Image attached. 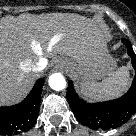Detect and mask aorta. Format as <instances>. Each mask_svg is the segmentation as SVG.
<instances>
[{
  "instance_id": "1",
  "label": "aorta",
  "mask_w": 136,
  "mask_h": 136,
  "mask_svg": "<svg viewBox=\"0 0 136 136\" xmlns=\"http://www.w3.org/2000/svg\"><path fill=\"white\" fill-rule=\"evenodd\" d=\"M49 85L51 89L55 91H61L66 88V80L61 74L55 73L50 76Z\"/></svg>"
}]
</instances>
